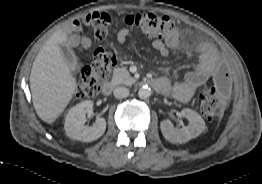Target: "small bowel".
<instances>
[{
  "instance_id": "c3829d8e",
  "label": "small bowel",
  "mask_w": 262,
  "mask_h": 184,
  "mask_svg": "<svg viewBox=\"0 0 262 184\" xmlns=\"http://www.w3.org/2000/svg\"><path fill=\"white\" fill-rule=\"evenodd\" d=\"M80 26V22L75 20L68 26V30L69 32L78 31ZM129 37L130 31L126 28L119 30L117 33V40L121 43L126 42ZM91 44L90 38L85 36L80 37L76 34H73L68 40L69 46L84 50H88ZM152 46L162 56H167L171 50L181 49L179 33L174 31L164 40L154 39L152 40ZM195 51L198 54L195 68L186 75L183 81L172 85L165 77L156 78L159 82V87L156 90L159 93L173 97L182 103H187L199 88L208 82L217 81L216 72L218 68L223 65L222 58L218 51L207 44L197 45Z\"/></svg>"
}]
</instances>
